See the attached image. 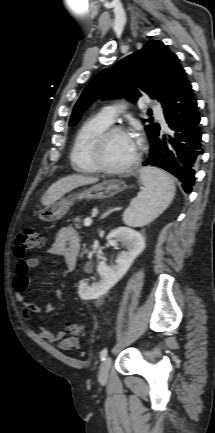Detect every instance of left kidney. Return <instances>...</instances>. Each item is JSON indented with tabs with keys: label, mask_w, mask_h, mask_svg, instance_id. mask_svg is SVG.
<instances>
[{
	"label": "left kidney",
	"mask_w": 215,
	"mask_h": 433,
	"mask_svg": "<svg viewBox=\"0 0 215 433\" xmlns=\"http://www.w3.org/2000/svg\"><path fill=\"white\" fill-rule=\"evenodd\" d=\"M107 241L110 246L122 243L125 251L118 254L116 264L107 266L105 261H102L97 266V271L101 276L98 283H93L88 286L84 280L79 282L78 295L82 300H93L106 294L128 271L134 259L143 251L145 241L142 234L128 227H118L112 230Z\"/></svg>",
	"instance_id": "1"
}]
</instances>
